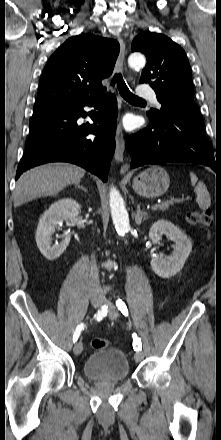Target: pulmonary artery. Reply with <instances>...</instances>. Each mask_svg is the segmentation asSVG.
<instances>
[{
  "label": "pulmonary artery",
  "instance_id": "pulmonary-artery-1",
  "mask_svg": "<svg viewBox=\"0 0 221 440\" xmlns=\"http://www.w3.org/2000/svg\"><path fill=\"white\" fill-rule=\"evenodd\" d=\"M137 96L141 99L152 100L156 104H159L156 99L155 91L151 88L140 86L138 87Z\"/></svg>",
  "mask_w": 221,
  "mask_h": 440
}]
</instances>
